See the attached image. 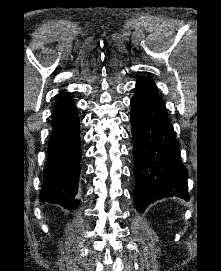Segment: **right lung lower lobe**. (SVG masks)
<instances>
[{
	"label": "right lung lower lobe",
	"instance_id": "1",
	"mask_svg": "<svg viewBox=\"0 0 221 271\" xmlns=\"http://www.w3.org/2000/svg\"><path fill=\"white\" fill-rule=\"evenodd\" d=\"M48 157L40 191V201L78 207L81 138L80 121L74 102L54 109Z\"/></svg>",
	"mask_w": 221,
	"mask_h": 271
}]
</instances>
